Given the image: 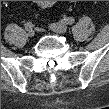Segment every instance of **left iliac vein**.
<instances>
[{"label": "left iliac vein", "mask_w": 109, "mask_h": 109, "mask_svg": "<svg viewBox=\"0 0 109 109\" xmlns=\"http://www.w3.org/2000/svg\"><path fill=\"white\" fill-rule=\"evenodd\" d=\"M50 29L56 33H65L67 31V26L62 23H54L50 26Z\"/></svg>", "instance_id": "left-iliac-vein-1"}]
</instances>
